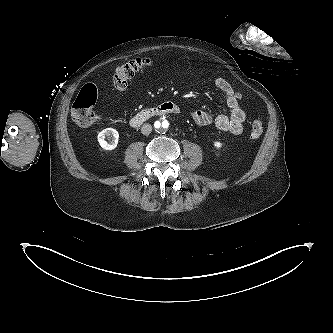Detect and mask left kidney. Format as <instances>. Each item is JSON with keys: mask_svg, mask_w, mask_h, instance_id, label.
<instances>
[{"mask_svg": "<svg viewBox=\"0 0 333 333\" xmlns=\"http://www.w3.org/2000/svg\"><path fill=\"white\" fill-rule=\"evenodd\" d=\"M214 146H215L217 149H220V148L222 147V143L216 141V142L214 143Z\"/></svg>", "mask_w": 333, "mask_h": 333, "instance_id": "5707ae66", "label": "left kidney"}]
</instances>
